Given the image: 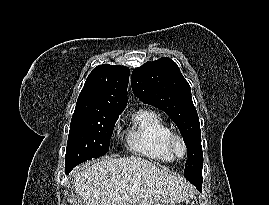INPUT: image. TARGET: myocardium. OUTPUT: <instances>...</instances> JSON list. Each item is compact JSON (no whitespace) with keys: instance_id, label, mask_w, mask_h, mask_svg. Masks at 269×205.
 <instances>
[{"instance_id":"1","label":"myocardium","mask_w":269,"mask_h":205,"mask_svg":"<svg viewBox=\"0 0 269 205\" xmlns=\"http://www.w3.org/2000/svg\"><path fill=\"white\" fill-rule=\"evenodd\" d=\"M166 146L175 158H183L187 155L188 145L185 138L181 134L172 132L167 137Z\"/></svg>"}]
</instances>
